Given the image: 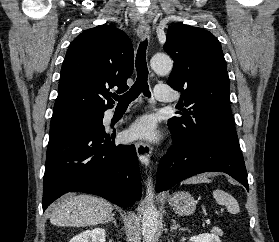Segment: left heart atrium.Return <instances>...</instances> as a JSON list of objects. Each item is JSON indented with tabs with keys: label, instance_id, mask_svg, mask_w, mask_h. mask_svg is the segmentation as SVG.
<instances>
[{
	"label": "left heart atrium",
	"instance_id": "39dd6f15",
	"mask_svg": "<svg viewBox=\"0 0 279 242\" xmlns=\"http://www.w3.org/2000/svg\"><path fill=\"white\" fill-rule=\"evenodd\" d=\"M128 137L131 140H155L157 138V131L152 118L143 116L136 120L128 131Z\"/></svg>",
	"mask_w": 279,
	"mask_h": 242
}]
</instances>
